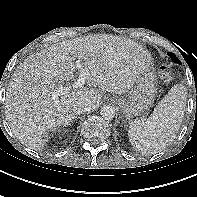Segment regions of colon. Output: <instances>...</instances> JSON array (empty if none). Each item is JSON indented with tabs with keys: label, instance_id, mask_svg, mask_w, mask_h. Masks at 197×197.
Instances as JSON below:
<instances>
[{
	"label": "colon",
	"instance_id": "obj_1",
	"mask_svg": "<svg viewBox=\"0 0 197 197\" xmlns=\"http://www.w3.org/2000/svg\"><path fill=\"white\" fill-rule=\"evenodd\" d=\"M160 77L163 79V80H169L171 78V74H170V71L165 68V67H162L160 69Z\"/></svg>",
	"mask_w": 197,
	"mask_h": 197
}]
</instances>
